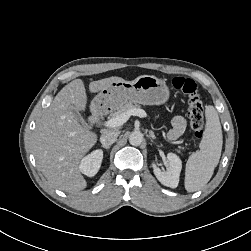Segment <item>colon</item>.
Masks as SVG:
<instances>
[{
  "label": "colon",
  "mask_w": 251,
  "mask_h": 251,
  "mask_svg": "<svg viewBox=\"0 0 251 251\" xmlns=\"http://www.w3.org/2000/svg\"><path fill=\"white\" fill-rule=\"evenodd\" d=\"M172 86L187 97L188 116L191 127L197 138L204 135V105L197 92L196 83L189 78L175 77Z\"/></svg>",
  "instance_id": "1"
}]
</instances>
